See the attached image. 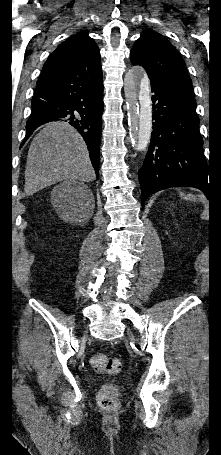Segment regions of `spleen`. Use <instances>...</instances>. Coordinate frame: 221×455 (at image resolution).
I'll list each match as a JSON object with an SVG mask.
<instances>
[{
	"label": "spleen",
	"instance_id": "1",
	"mask_svg": "<svg viewBox=\"0 0 221 455\" xmlns=\"http://www.w3.org/2000/svg\"><path fill=\"white\" fill-rule=\"evenodd\" d=\"M180 195L187 200L195 201V197L192 194L185 195L184 193H181Z\"/></svg>",
	"mask_w": 221,
	"mask_h": 455
}]
</instances>
